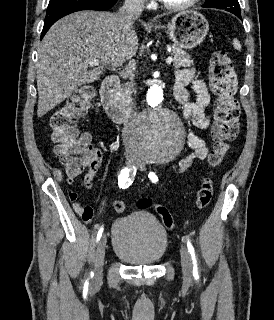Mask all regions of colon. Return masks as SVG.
<instances>
[{"mask_svg":"<svg viewBox=\"0 0 274 320\" xmlns=\"http://www.w3.org/2000/svg\"><path fill=\"white\" fill-rule=\"evenodd\" d=\"M209 79L213 93L216 95L215 115L212 124L213 147L209 156L211 167H216L226 154L229 143L233 141L239 131L240 109L235 98L237 91V74L233 62L226 52H215L210 61ZM86 92L78 93L67 98L50 116L49 129L52 132L51 140L55 144V154L65 166L68 173V182L87 167L94 157L92 139L88 133L79 132L76 122L84 108ZM69 196H78L73 190ZM213 187L210 178H205L196 194V205L206 207L212 199ZM152 200L139 199L136 206L140 210L155 207L168 229L174 226V219L170 211L161 205L151 206ZM114 210L121 214L126 210L125 203L116 201Z\"/></svg>","mask_w":274,"mask_h":320,"instance_id":"5ec220e1","label":"colon"}]
</instances>
